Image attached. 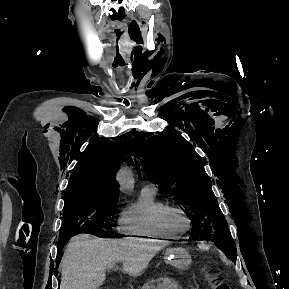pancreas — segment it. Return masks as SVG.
I'll list each match as a JSON object with an SVG mask.
<instances>
[{"label":"pancreas","instance_id":"pancreas-1","mask_svg":"<svg viewBox=\"0 0 289 289\" xmlns=\"http://www.w3.org/2000/svg\"><path fill=\"white\" fill-rule=\"evenodd\" d=\"M142 289H182L175 280L168 277H159L149 280Z\"/></svg>","mask_w":289,"mask_h":289}]
</instances>
